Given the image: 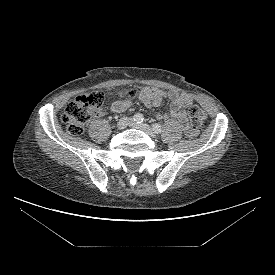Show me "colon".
<instances>
[{"mask_svg": "<svg viewBox=\"0 0 275 275\" xmlns=\"http://www.w3.org/2000/svg\"><path fill=\"white\" fill-rule=\"evenodd\" d=\"M110 94L114 95L116 92L112 91ZM117 94L123 93L117 92ZM128 95H132V92H128ZM104 100V93L96 91L80 95L69 102L61 115V121L66 125L68 132L73 136L81 135L86 123L100 113ZM189 117L194 128L201 129L204 126L206 114L199 106H190Z\"/></svg>", "mask_w": 275, "mask_h": 275, "instance_id": "1", "label": "colon"}]
</instances>
